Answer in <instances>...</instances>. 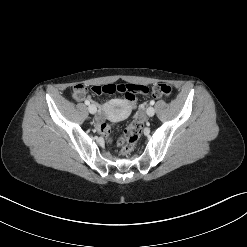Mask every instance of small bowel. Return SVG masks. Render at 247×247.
I'll return each instance as SVG.
<instances>
[{
	"instance_id": "obj_1",
	"label": "small bowel",
	"mask_w": 247,
	"mask_h": 247,
	"mask_svg": "<svg viewBox=\"0 0 247 247\" xmlns=\"http://www.w3.org/2000/svg\"><path fill=\"white\" fill-rule=\"evenodd\" d=\"M74 98L77 100V101H81L83 98L86 97V93L82 94V95H76V94H73ZM131 108V107H130ZM132 109V108H131ZM97 123L99 125V127H101L103 125V116L102 115H99V117L97 118Z\"/></svg>"
}]
</instances>
